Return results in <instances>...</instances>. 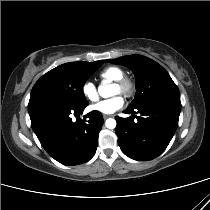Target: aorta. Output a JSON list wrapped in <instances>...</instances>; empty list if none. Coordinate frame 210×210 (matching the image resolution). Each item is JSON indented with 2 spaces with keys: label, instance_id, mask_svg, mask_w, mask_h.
<instances>
[{
  "label": "aorta",
  "instance_id": "1",
  "mask_svg": "<svg viewBox=\"0 0 210 210\" xmlns=\"http://www.w3.org/2000/svg\"><path fill=\"white\" fill-rule=\"evenodd\" d=\"M110 89H111V85L99 87L98 91H99L100 96L104 98L111 96L112 94L110 93ZM105 125L108 129H114L116 127V120L109 118L106 120Z\"/></svg>",
  "mask_w": 210,
  "mask_h": 210
}]
</instances>
